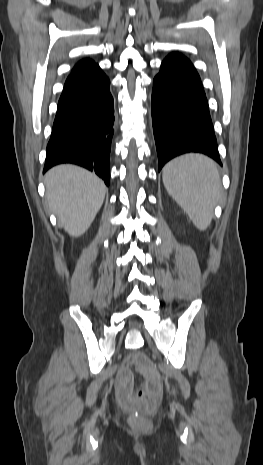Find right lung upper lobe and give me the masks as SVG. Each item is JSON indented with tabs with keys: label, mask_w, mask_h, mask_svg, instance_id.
I'll use <instances>...</instances> for the list:
<instances>
[{
	"label": "right lung upper lobe",
	"mask_w": 263,
	"mask_h": 465,
	"mask_svg": "<svg viewBox=\"0 0 263 465\" xmlns=\"http://www.w3.org/2000/svg\"><path fill=\"white\" fill-rule=\"evenodd\" d=\"M94 66H97V65L92 60L83 59L75 65V67L73 68V72L83 70L86 68H90V67H94Z\"/></svg>",
	"instance_id": "1"
}]
</instances>
